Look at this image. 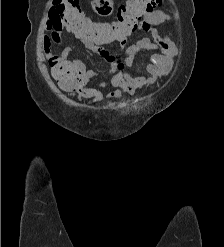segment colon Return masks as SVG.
<instances>
[{
    "label": "colon",
    "mask_w": 224,
    "mask_h": 247,
    "mask_svg": "<svg viewBox=\"0 0 224 247\" xmlns=\"http://www.w3.org/2000/svg\"><path fill=\"white\" fill-rule=\"evenodd\" d=\"M161 4L162 0H127L118 7L115 19L96 22L81 10L78 0L52 2L62 22L77 38L100 42H113L128 37L138 28L142 18ZM118 64L119 67L122 66L120 61ZM50 66L53 77L65 89H77L83 82L86 71L78 62L56 58Z\"/></svg>",
    "instance_id": "colon-1"
}]
</instances>
